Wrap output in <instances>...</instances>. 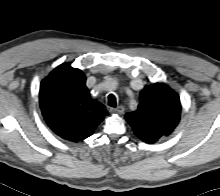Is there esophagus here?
Listing matches in <instances>:
<instances>
[{"instance_id":"obj_1","label":"esophagus","mask_w":220,"mask_h":196,"mask_svg":"<svg viewBox=\"0 0 220 196\" xmlns=\"http://www.w3.org/2000/svg\"><path fill=\"white\" fill-rule=\"evenodd\" d=\"M110 112L113 113V114L121 115L124 112V107L123 106H118L116 108H111Z\"/></svg>"}]
</instances>
